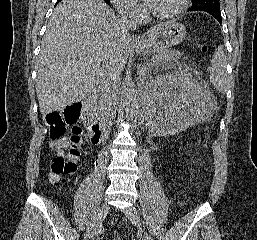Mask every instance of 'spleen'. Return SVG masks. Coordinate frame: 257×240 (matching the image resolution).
Segmentation results:
<instances>
[{"instance_id": "1", "label": "spleen", "mask_w": 257, "mask_h": 240, "mask_svg": "<svg viewBox=\"0 0 257 240\" xmlns=\"http://www.w3.org/2000/svg\"><path fill=\"white\" fill-rule=\"evenodd\" d=\"M210 82L221 93L228 89V74L226 72V56L220 45L211 59Z\"/></svg>"}]
</instances>
